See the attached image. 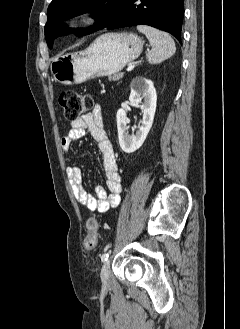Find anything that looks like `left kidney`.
Masks as SVG:
<instances>
[{
    "mask_svg": "<svg viewBox=\"0 0 240 329\" xmlns=\"http://www.w3.org/2000/svg\"><path fill=\"white\" fill-rule=\"evenodd\" d=\"M144 99L143 103L141 99ZM129 101L140 104L143 118L135 135H129L127 130L126 111L121 108L117 111V130L121 149L125 153H132L144 143L154 120L157 106V94L153 82L144 77H136L131 83Z\"/></svg>",
    "mask_w": 240,
    "mask_h": 329,
    "instance_id": "5707ae66",
    "label": "left kidney"
}]
</instances>
